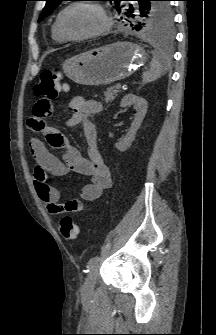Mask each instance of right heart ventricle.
I'll use <instances>...</instances> for the list:
<instances>
[{"instance_id": "e07e8e85", "label": "right heart ventricle", "mask_w": 216, "mask_h": 335, "mask_svg": "<svg viewBox=\"0 0 216 335\" xmlns=\"http://www.w3.org/2000/svg\"><path fill=\"white\" fill-rule=\"evenodd\" d=\"M52 38L56 41V42H64L65 39L61 37V35L58 33L56 27H55V23L52 26Z\"/></svg>"}]
</instances>
